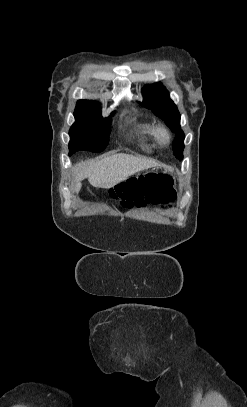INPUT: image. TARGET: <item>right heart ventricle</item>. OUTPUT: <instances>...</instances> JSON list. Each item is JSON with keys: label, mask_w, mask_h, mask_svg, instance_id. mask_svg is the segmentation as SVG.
<instances>
[{"label": "right heart ventricle", "mask_w": 247, "mask_h": 407, "mask_svg": "<svg viewBox=\"0 0 247 407\" xmlns=\"http://www.w3.org/2000/svg\"><path fill=\"white\" fill-rule=\"evenodd\" d=\"M155 130L156 126L149 122H140L133 126V133L143 149L151 151L156 146Z\"/></svg>", "instance_id": "1"}]
</instances>
